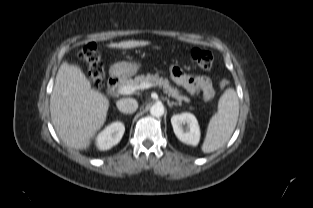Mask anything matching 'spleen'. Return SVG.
<instances>
[{
    "instance_id": "obj_1",
    "label": "spleen",
    "mask_w": 313,
    "mask_h": 208,
    "mask_svg": "<svg viewBox=\"0 0 313 208\" xmlns=\"http://www.w3.org/2000/svg\"><path fill=\"white\" fill-rule=\"evenodd\" d=\"M239 116V100L234 89H227L220 97L218 111L208 124L202 145L204 153H211L222 147L232 136Z\"/></svg>"
}]
</instances>
